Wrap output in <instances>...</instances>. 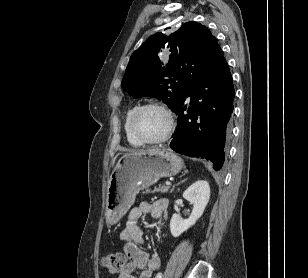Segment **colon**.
<instances>
[{
	"instance_id": "obj_1",
	"label": "colon",
	"mask_w": 308,
	"mask_h": 278,
	"mask_svg": "<svg viewBox=\"0 0 308 278\" xmlns=\"http://www.w3.org/2000/svg\"><path fill=\"white\" fill-rule=\"evenodd\" d=\"M127 259L125 253H109L104 257V265L111 273L118 274L124 269Z\"/></svg>"
}]
</instances>
